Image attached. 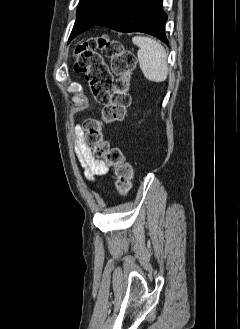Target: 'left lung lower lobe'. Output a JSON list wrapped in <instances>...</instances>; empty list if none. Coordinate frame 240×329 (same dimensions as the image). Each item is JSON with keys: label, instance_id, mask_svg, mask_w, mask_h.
Returning a JSON list of instances; mask_svg holds the SVG:
<instances>
[{"label": "left lung lower lobe", "instance_id": "obj_1", "mask_svg": "<svg viewBox=\"0 0 240 329\" xmlns=\"http://www.w3.org/2000/svg\"><path fill=\"white\" fill-rule=\"evenodd\" d=\"M166 21L162 0H121L95 25L120 32L147 33L168 45L164 31Z\"/></svg>", "mask_w": 240, "mask_h": 329}]
</instances>
